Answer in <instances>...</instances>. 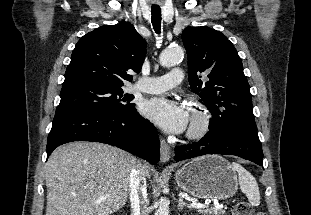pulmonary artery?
I'll list each match as a JSON object with an SVG mask.
<instances>
[{
	"mask_svg": "<svg viewBox=\"0 0 311 215\" xmlns=\"http://www.w3.org/2000/svg\"><path fill=\"white\" fill-rule=\"evenodd\" d=\"M182 79V70L174 68L164 76L140 80L136 84L135 89L144 93L156 94L176 87L182 82Z\"/></svg>",
	"mask_w": 311,
	"mask_h": 215,
	"instance_id": "pulmonary-artery-1",
	"label": "pulmonary artery"
}]
</instances>
